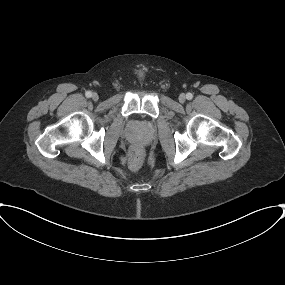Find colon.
Listing matches in <instances>:
<instances>
[{
	"label": "colon",
	"instance_id": "5ec220e1",
	"mask_svg": "<svg viewBox=\"0 0 285 285\" xmlns=\"http://www.w3.org/2000/svg\"><path fill=\"white\" fill-rule=\"evenodd\" d=\"M142 163L143 159L140 150L137 148L133 149L129 157V166L133 170H138L141 168Z\"/></svg>",
	"mask_w": 285,
	"mask_h": 285
}]
</instances>
